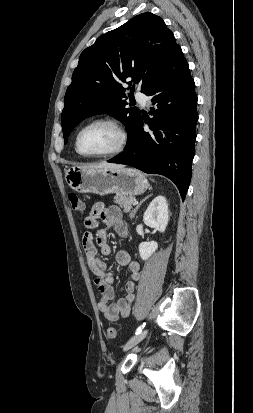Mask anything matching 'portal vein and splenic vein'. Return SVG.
<instances>
[{
  "mask_svg": "<svg viewBox=\"0 0 253 413\" xmlns=\"http://www.w3.org/2000/svg\"><path fill=\"white\" fill-rule=\"evenodd\" d=\"M134 204H137V201H136V200H134Z\"/></svg>",
  "mask_w": 253,
  "mask_h": 413,
  "instance_id": "portal-vein-and-splenic-vein-1",
  "label": "portal vein and splenic vein"
}]
</instances>
